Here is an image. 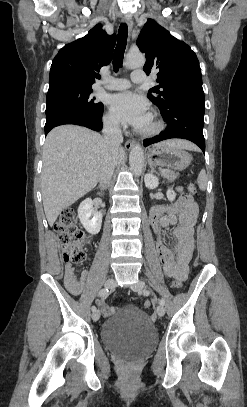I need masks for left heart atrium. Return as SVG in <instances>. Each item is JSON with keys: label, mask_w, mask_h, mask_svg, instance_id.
Here are the masks:
<instances>
[{"label": "left heart atrium", "mask_w": 247, "mask_h": 407, "mask_svg": "<svg viewBox=\"0 0 247 407\" xmlns=\"http://www.w3.org/2000/svg\"><path fill=\"white\" fill-rule=\"evenodd\" d=\"M107 103L114 117L123 124L142 129L150 119L148 102L135 93L113 94Z\"/></svg>", "instance_id": "1"}]
</instances>
